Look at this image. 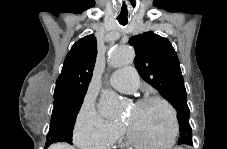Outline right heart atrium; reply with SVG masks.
I'll list each match as a JSON object with an SVG mask.
<instances>
[{"label":"right heart atrium","mask_w":227,"mask_h":149,"mask_svg":"<svg viewBox=\"0 0 227 149\" xmlns=\"http://www.w3.org/2000/svg\"><path fill=\"white\" fill-rule=\"evenodd\" d=\"M121 134L120 123L101 115L90 100L83 101L74 128V137L78 145L92 149L108 148Z\"/></svg>","instance_id":"d8ad5b80"}]
</instances>
